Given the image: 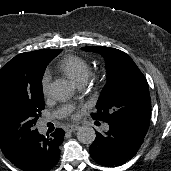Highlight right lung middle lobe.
Wrapping results in <instances>:
<instances>
[{"mask_svg":"<svg viewBox=\"0 0 171 171\" xmlns=\"http://www.w3.org/2000/svg\"><path fill=\"white\" fill-rule=\"evenodd\" d=\"M61 51L47 56L21 53L0 69V148L6 157L38 133L35 124L45 108L42 77Z\"/></svg>","mask_w":171,"mask_h":171,"instance_id":"dd1d6c3e","label":"right lung middle lobe"}]
</instances>
